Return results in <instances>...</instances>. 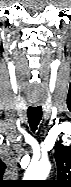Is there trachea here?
Instances as JSON below:
<instances>
[{"mask_svg":"<svg viewBox=\"0 0 71 187\" xmlns=\"http://www.w3.org/2000/svg\"><path fill=\"white\" fill-rule=\"evenodd\" d=\"M28 122L31 127V130L35 132L37 130V126L42 119V107L41 106H29L28 111Z\"/></svg>","mask_w":71,"mask_h":187,"instance_id":"1","label":"trachea"}]
</instances>
